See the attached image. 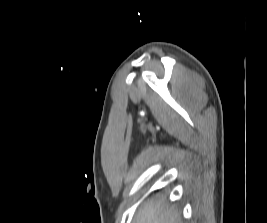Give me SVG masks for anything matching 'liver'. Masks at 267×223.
<instances>
[{"label": "liver", "instance_id": "liver-1", "mask_svg": "<svg viewBox=\"0 0 267 223\" xmlns=\"http://www.w3.org/2000/svg\"><path fill=\"white\" fill-rule=\"evenodd\" d=\"M135 223H181L174 206H169L164 198L148 200L139 210Z\"/></svg>", "mask_w": 267, "mask_h": 223}]
</instances>
